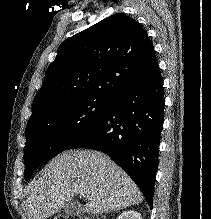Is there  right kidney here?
Returning a JSON list of instances; mask_svg holds the SVG:
<instances>
[{
  "label": "right kidney",
  "mask_w": 211,
  "mask_h": 219,
  "mask_svg": "<svg viewBox=\"0 0 211 219\" xmlns=\"http://www.w3.org/2000/svg\"><path fill=\"white\" fill-rule=\"evenodd\" d=\"M117 219H142L141 214L134 210H128L121 213Z\"/></svg>",
  "instance_id": "ca27d5eb"
}]
</instances>
